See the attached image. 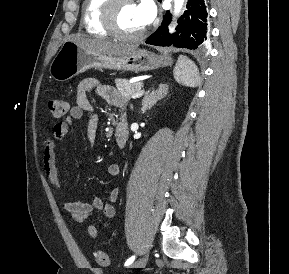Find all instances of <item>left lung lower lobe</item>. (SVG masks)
Segmentation results:
<instances>
[{
    "label": "left lung lower lobe",
    "instance_id": "obj_1",
    "mask_svg": "<svg viewBox=\"0 0 289 274\" xmlns=\"http://www.w3.org/2000/svg\"><path fill=\"white\" fill-rule=\"evenodd\" d=\"M187 10L179 18L176 32L170 34L171 14L167 11L161 26L147 40V44L197 49L209 36L208 13L205 0H188Z\"/></svg>",
    "mask_w": 289,
    "mask_h": 274
}]
</instances>
